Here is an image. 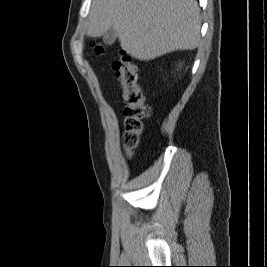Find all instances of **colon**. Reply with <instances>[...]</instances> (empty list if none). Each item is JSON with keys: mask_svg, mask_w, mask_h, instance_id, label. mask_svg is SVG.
<instances>
[{"mask_svg": "<svg viewBox=\"0 0 267 267\" xmlns=\"http://www.w3.org/2000/svg\"><path fill=\"white\" fill-rule=\"evenodd\" d=\"M104 47L96 45L95 52L102 53ZM116 77L122 85V98L124 103L123 145L129 155L138 146L143 130L144 119L151 114V108L145 103L139 84V74L136 64L125 52L114 60L112 64Z\"/></svg>", "mask_w": 267, "mask_h": 267, "instance_id": "obj_1", "label": "colon"}]
</instances>
